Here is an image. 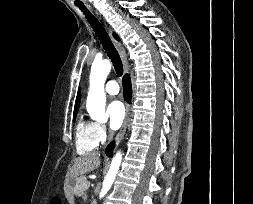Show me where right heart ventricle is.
Here are the masks:
<instances>
[{
    "mask_svg": "<svg viewBox=\"0 0 253 204\" xmlns=\"http://www.w3.org/2000/svg\"><path fill=\"white\" fill-rule=\"evenodd\" d=\"M75 145L79 154L95 150L98 141L94 135L93 122L80 118L75 128Z\"/></svg>",
    "mask_w": 253,
    "mask_h": 204,
    "instance_id": "1",
    "label": "right heart ventricle"
}]
</instances>
